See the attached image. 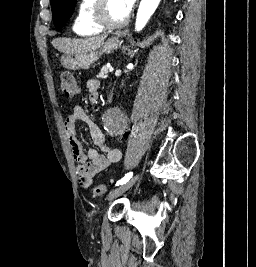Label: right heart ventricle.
Here are the masks:
<instances>
[{
  "label": "right heart ventricle",
  "instance_id": "1",
  "mask_svg": "<svg viewBox=\"0 0 256 267\" xmlns=\"http://www.w3.org/2000/svg\"><path fill=\"white\" fill-rule=\"evenodd\" d=\"M85 2L86 6L81 10L72 31L77 36H100L103 30L97 27L92 19L96 0H85Z\"/></svg>",
  "mask_w": 256,
  "mask_h": 267
}]
</instances>
